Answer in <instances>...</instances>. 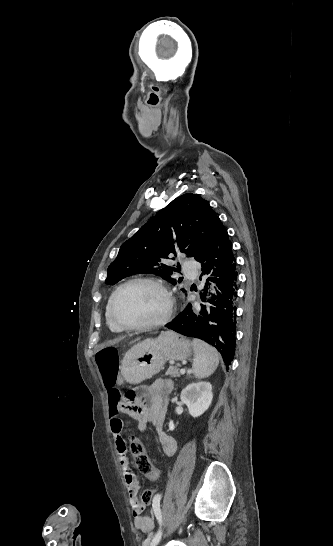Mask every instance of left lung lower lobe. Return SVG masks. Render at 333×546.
<instances>
[{"mask_svg":"<svg viewBox=\"0 0 333 546\" xmlns=\"http://www.w3.org/2000/svg\"><path fill=\"white\" fill-rule=\"evenodd\" d=\"M196 261L201 263L203 273H211L215 276L208 279L216 283L219 289L216 290L217 295L209 300L214 306L207 309L202 304L198 307L188 304L171 323L166 325V328L188 337L202 339L216 347L228 370L235 352L236 306L234 299L237 296L238 273L232 244L220 219L216 221L211 239ZM206 289H208V283L205 284V289L201 293L202 301H205Z\"/></svg>","mask_w":333,"mask_h":546,"instance_id":"left-lung-lower-lobe-1","label":"left lung lower lobe"}]
</instances>
